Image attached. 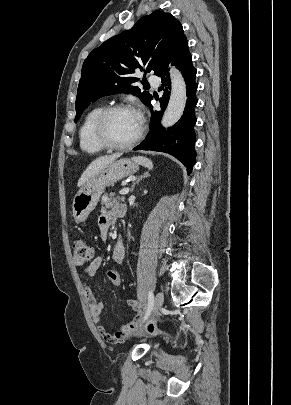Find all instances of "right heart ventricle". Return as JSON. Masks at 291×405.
<instances>
[{
  "instance_id": "right-heart-ventricle-1",
  "label": "right heart ventricle",
  "mask_w": 291,
  "mask_h": 405,
  "mask_svg": "<svg viewBox=\"0 0 291 405\" xmlns=\"http://www.w3.org/2000/svg\"><path fill=\"white\" fill-rule=\"evenodd\" d=\"M102 110V106H96L89 110L80 125L78 132L79 144L81 150L85 153L97 154L105 149L96 141L93 134L95 120Z\"/></svg>"
}]
</instances>
